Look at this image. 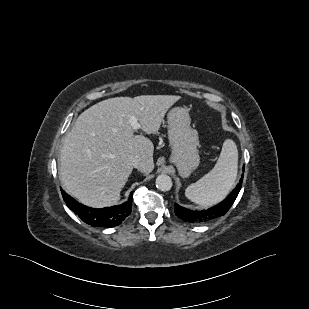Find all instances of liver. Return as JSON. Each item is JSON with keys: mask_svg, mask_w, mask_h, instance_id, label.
Here are the masks:
<instances>
[{"mask_svg": "<svg viewBox=\"0 0 309 309\" xmlns=\"http://www.w3.org/2000/svg\"><path fill=\"white\" fill-rule=\"evenodd\" d=\"M180 98L115 97L85 110L65 136L60 153L59 175L65 191L94 208L117 203L133 170L132 157L141 159L142 173L154 169L153 143L134 135L130 118L136 117L142 131L155 134L168 109Z\"/></svg>", "mask_w": 309, "mask_h": 309, "instance_id": "6515ba94", "label": "liver"}]
</instances>
